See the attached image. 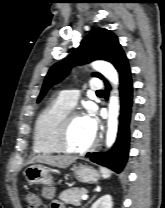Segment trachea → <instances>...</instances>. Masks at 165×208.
Wrapping results in <instances>:
<instances>
[{
    "label": "trachea",
    "mask_w": 165,
    "mask_h": 208,
    "mask_svg": "<svg viewBox=\"0 0 165 208\" xmlns=\"http://www.w3.org/2000/svg\"><path fill=\"white\" fill-rule=\"evenodd\" d=\"M97 94H98V95H99V94H103V91H102V90H101V91H98Z\"/></svg>",
    "instance_id": "trachea-1"
}]
</instances>
